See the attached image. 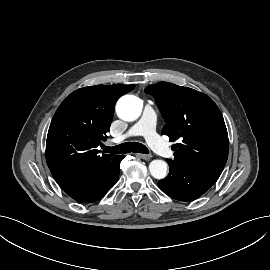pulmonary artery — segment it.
<instances>
[{
	"label": "pulmonary artery",
	"instance_id": "pulmonary-artery-1",
	"mask_svg": "<svg viewBox=\"0 0 270 270\" xmlns=\"http://www.w3.org/2000/svg\"><path fill=\"white\" fill-rule=\"evenodd\" d=\"M156 123V114L152 106L146 104L141 119L124 135L118 136L116 140L122 141L130 136L142 135L156 153L162 157H170L172 156L173 151L158 135Z\"/></svg>",
	"mask_w": 270,
	"mask_h": 270
}]
</instances>
